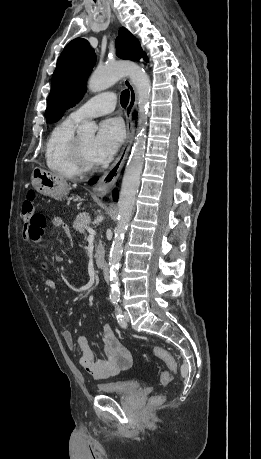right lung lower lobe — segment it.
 <instances>
[{
    "instance_id": "right-lung-lower-lobe-1",
    "label": "right lung lower lobe",
    "mask_w": 261,
    "mask_h": 459,
    "mask_svg": "<svg viewBox=\"0 0 261 459\" xmlns=\"http://www.w3.org/2000/svg\"><path fill=\"white\" fill-rule=\"evenodd\" d=\"M134 116H135V114H134ZM113 200L114 201L118 200V191L116 189L113 191Z\"/></svg>"
}]
</instances>
